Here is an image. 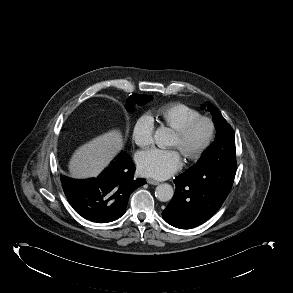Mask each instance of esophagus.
Returning <instances> with one entry per match:
<instances>
[{
	"instance_id": "34e87169",
	"label": "esophagus",
	"mask_w": 293,
	"mask_h": 293,
	"mask_svg": "<svg viewBox=\"0 0 293 293\" xmlns=\"http://www.w3.org/2000/svg\"><path fill=\"white\" fill-rule=\"evenodd\" d=\"M147 183L151 185H159V182L153 179H147Z\"/></svg>"
}]
</instances>
